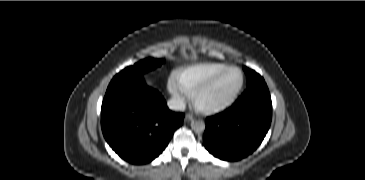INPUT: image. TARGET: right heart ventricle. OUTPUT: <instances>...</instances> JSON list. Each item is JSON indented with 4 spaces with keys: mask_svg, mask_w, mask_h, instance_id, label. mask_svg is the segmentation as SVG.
I'll return each instance as SVG.
<instances>
[{
    "mask_svg": "<svg viewBox=\"0 0 365 180\" xmlns=\"http://www.w3.org/2000/svg\"><path fill=\"white\" fill-rule=\"evenodd\" d=\"M227 66L217 62L194 64L178 70L176 78L186 94L191 95L198 86Z\"/></svg>",
    "mask_w": 365,
    "mask_h": 180,
    "instance_id": "right-heart-ventricle-1",
    "label": "right heart ventricle"
}]
</instances>
